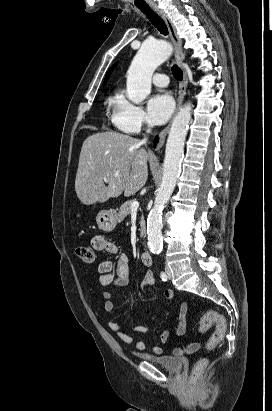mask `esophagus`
<instances>
[{
  "mask_svg": "<svg viewBox=\"0 0 272 411\" xmlns=\"http://www.w3.org/2000/svg\"><path fill=\"white\" fill-rule=\"evenodd\" d=\"M152 9L163 19V21L165 22V24L167 25L170 37L174 43L175 46V58H176V62L182 66V63L184 61V53L182 50V41L179 38L176 29L173 25V23L171 22V20L169 19V17L162 11L160 10L157 6L153 5ZM188 85V78H187V74L184 71V77H183V81L180 84V89H179V96L177 99V107H176V111L175 113L180 109L182 102L184 100V96L186 94V88ZM172 120L170 121V123L161 131L160 133V141H159V145L157 147V149H159L160 147H162V145L164 144L165 138L170 130V126H171Z\"/></svg>",
  "mask_w": 272,
  "mask_h": 411,
  "instance_id": "1",
  "label": "esophagus"
}]
</instances>
